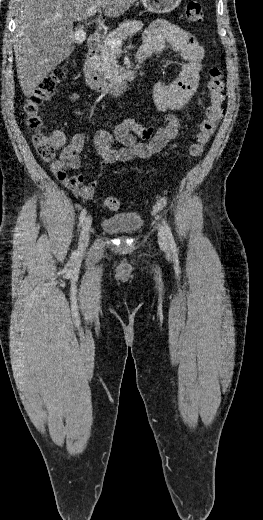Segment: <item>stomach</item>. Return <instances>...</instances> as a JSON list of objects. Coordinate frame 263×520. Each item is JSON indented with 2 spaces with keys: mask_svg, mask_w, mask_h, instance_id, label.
<instances>
[{
  "mask_svg": "<svg viewBox=\"0 0 263 520\" xmlns=\"http://www.w3.org/2000/svg\"><path fill=\"white\" fill-rule=\"evenodd\" d=\"M144 7L151 13H169L176 9L181 0H142Z\"/></svg>",
  "mask_w": 263,
  "mask_h": 520,
  "instance_id": "1",
  "label": "stomach"
}]
</instances>
